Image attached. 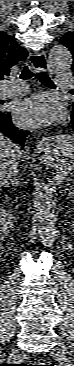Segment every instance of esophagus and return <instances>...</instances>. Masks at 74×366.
Masks as SVG:
<instances>
[{"label": "esophagus", "mask_w": 74, "mask_h": 366, "mask_svg": "<svg viewBox=\"0 0 74 366\" xmlns=\"http://www.w3.org/2000/svg\"><path fill=\"white\" fill-rule=\"evenodd\" d=\"M30 63L36 73L46 71L47 69V56L43 52L32 53L30 55ZM38 148L41 152H47V141H41L38 144Z\"/></svg>", "instance_id": "esophagus-1"}]
</instances>
